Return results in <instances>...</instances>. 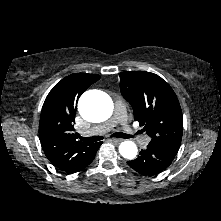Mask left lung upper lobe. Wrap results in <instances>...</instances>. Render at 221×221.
Here are the masks:
<instances>
[{
    "mask_svg": "<svg viewBox=\"0 0 221 221\" xmlns=\"http://www.w3.org/2000/svg\"><path fill=\"white\" fill-rule=\"evenodd\" d=\"M120 90L133 107L134 119L151 137L149 144L177 154L183 134V116L170 85L150 72L127 71L120 73Z\"/></svg>",
    "mask_w": 221,
    "mask_h": 221,
    "instance_id": "1",
    "label": "left lung upper lobe"
}]
</instances>
